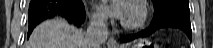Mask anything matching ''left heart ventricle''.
<instances>
[{
    "label": "left heart ventricle",
    "mask_w": 213,
    "mask_h": 48,
    "mask_svg": "<svg viewBox=\"0 0 213 48\" xmlns=\"http://www.w3.org/2000/svg\"><path fill=\"white\" fill-rule=\"evenodd\" d=\"M136 17H137L136 11L133 10V9H131V8L129 7L126 20H132V19H134V18H136Z\"/></svg>",
    "instance_id": "left-heart-ventricle-1"
}]
</instances>
